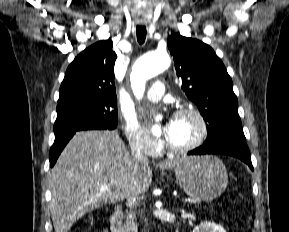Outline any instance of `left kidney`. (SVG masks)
I'll list each match as a JSON object with an SVG mask.
<instances>
[{"mask_svg":"<svg viewBox=\"0 0 289 232\" xmlns=\"http://www.w3.org/2000/svg\"><path fill=\"white\" fill-rule=\"evenodd\" d=\"M193 232H226V230L216 223L204 222L196 226Z\"/></svg>","mask_w":289,"mask_h":232,"instance_id":"left-kidney-1","label":"left kidney"}]
</instances>
